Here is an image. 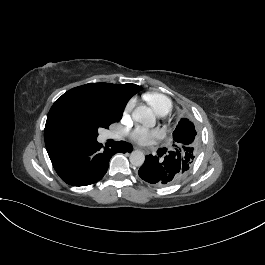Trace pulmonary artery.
Wrapping results in <instances>:
<instances>
[{"label":"pulmonary artery","mask_w":265,"mask_h":265,"mask_svg":"<svg viewBox=\"0 0 265 265\" xmlns=\"http://www.w3.org/2000/svg\"><path fill=\"white\" fill-rule=\"evenodd\" d=\"M111 135L114 137H119V135H117L115 132H111Z\"/></svg>","instance_id":"e3ab8cb5"}]
</instances>
